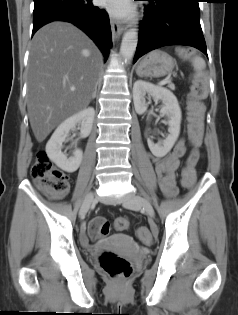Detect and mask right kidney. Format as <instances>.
Listing matches in <instances>:
<instances>
[{"instance_id": "1", "label": "right kidney", "mask_w": 238, "mask_h": 315, "mask_svg": "<svg viewBox=\"0 0 238 315\" xmlns=\"http://www.w3.org/2000/svg\"><path fill=\"white\" fill-rule=\"evenodd\" d=\"M95 110L92 107L81 110L63 121L55 130L50 140L46 144V153L48 157L62 170L73 173L75 172L83 158V152L76 149L73 156L67 157L62 152V144L69 135L71 129H74L77 124H80V136L86 138L92 130Z\"/></svg>"}]
</instances>
